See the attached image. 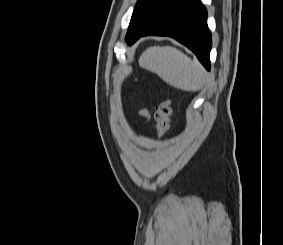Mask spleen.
I'll list each match as a JSON object with an SVG mask.
<instances>
[{"label": "spleen", "mask_w": 283, "mask_h": 245, "mask_svg": "<svg viewBox=\"0 0 283 245\" xmlns=\"http://www.w3.org/2000/svg\"><path fill=\"white\" fill-rule=\"evenodd\" d=\"M140 67L156 73L169 85L195 92L203 88L206 73L202 65L171 46H154L140 56Z\"/></svg>", "instance_id": "1"}]
</instances>
